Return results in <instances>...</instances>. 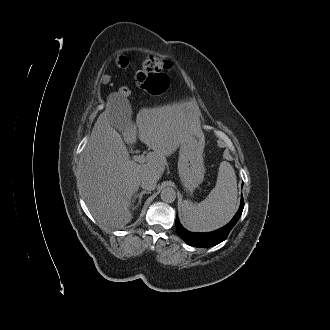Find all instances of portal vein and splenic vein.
Instances as JSON below:
<instances>
[{
  "instance_id": "obj_1",
  "label": "portal vein and splenic vein",
  "mask_w": 330,
  "mask_h": 330,
  "mask_svg": "<svg viewBox=\"0 0 330 330\" xmlns=\"http://www.w3.org/2000/svg\"><path fill=\"white\" fill-rule=\"evenodd\" d=\"M135 161H137L139 163H144L145 162V156L144 155L136 156Z\"/></svg>"
}]
</instances>
